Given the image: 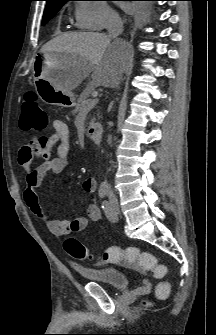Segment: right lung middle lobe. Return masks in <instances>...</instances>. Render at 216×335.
<instances>
[{
    "label": "right lung middle lobe",
    "instance_id": "1",
    "mask_svg": "<svg viewBox=\"0 0 216 335\" xmlns=\"http://www.w3.org/2000/svg\"><path fill=\"white\" fill-rule=\"evenodd\" d=\"M64 4L65 2L47 5L44 11L42 25H45L60 10V8Z\"/></svg>",
    "mask_w": 216,
    "mask_h": 335
}]
</instances>
